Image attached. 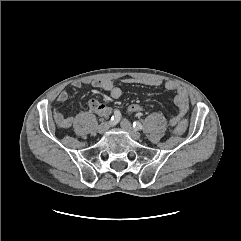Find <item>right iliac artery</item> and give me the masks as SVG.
I'll use <instances>...</instances> for the list:
<instances>
[{
  "instance_id": "82829eb1",
  "label": "right iliac artery",
  "mask_w": 241,
  "mask_h": 241,
  "mask_svg": "<svg viewBox=\"0 0 241 241\" xmlns=\"http://www.w3.org/2000/svg\"><path fill=\"white\" fill-rule=\"evenodd\" d=\"M121 118V113L119 110H114V114L112 115L111 119H110V124L112 126H114L116 123H118V121Z\"/></svg>"
}]
</instances>
